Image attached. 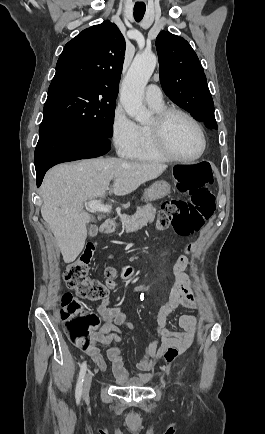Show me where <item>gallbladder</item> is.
I'll return each instance as SVG.
<instances>
[{"label": "gallbladder", "mask_w": 265, "mask_h": 434, "mask_svg": "<svg viewBox=\"0 0 265 434\" xmlns=\"http://www.w3.org/2000/svg\"><path fill=\"white\" fill-rule=\"evenodd\" d=\"M90 228L92 230L90 236L93 237V238L96 237V235H97V226L93 224V225H91Z\"/></svg>", "instance_id": "bac80fb5"}]
</instances>
